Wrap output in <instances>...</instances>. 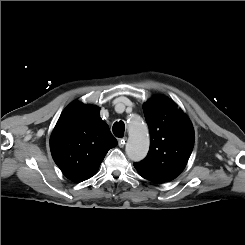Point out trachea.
<instances>
[{
  "label": "trachea",
  "instance_id": "obj_1",
  "mask_svg": "<svg viewBox=\"0 0 245 245\" xmlns=\"http://www.w3.org/2000/svg\"><path fill=\"white\" fill-rule=\"evenodd\" d=\"M113 134L116 136V137H123L124 135V131H125V124L123 121H119V122H115L114 125H113Z\"/></svg>",
  "mask_w": 245,
  "mask_h": 245
}]
</instances>
